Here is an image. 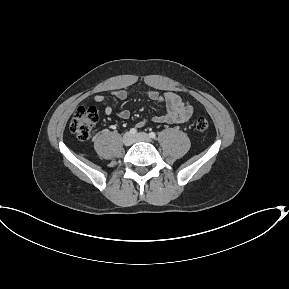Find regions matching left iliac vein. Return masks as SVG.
I'll use <instances>...</instances> for the list:
<instances>
[{"label": "left iliac vein", "mask_w": 289, "mask_h": 289, "mask_svg": "<svg viewBox=\"0 0 289 289\" xmlns=\"http://www.w3.org/2000/svg\"><path fill=\"white\" fill-rule=\"evenodd\" d=\"M134 141L135 142H147V143L152 142L150 136L144 132H140V133L136 134L134 136Z\"/></svg>", "instance_id": "left-iliac-vein-1"}]
</instances>
